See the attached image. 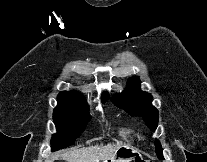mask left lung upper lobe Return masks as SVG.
<instances>
[{"label": "left lung upper lobe", "mask_w": 207, "mask_h": 162, "mask_svg": "<svg viewBox=\"0 0 207 162\" xmlns=\"http://www.w3.org/2000/svg\"><path fill=\"white\" fill-rule=\"evenodd\" d=\"M138 77H132L127 82V90L115 96L112 102L121 109H124L131 116L143 117L147 126L155 131L158 124V111L152 106V96L140 91ZM156 154L163 160L162 148L159 140H155Z\"/></svg>", "instance_id": "obj_1"}]
</instances>
